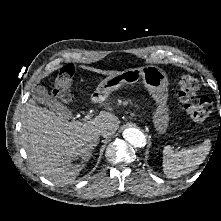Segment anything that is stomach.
<instances>
[{
    "label": "stomach",
    "mask_w": 221,
    "mask_h": 221,
    "mask_svg": "<svg viewBox=\"0 0 221 221\" xmlns=\"http://www.w3.org/2000/svg\"><path fill=\"white\" fill-rule=\"evenodd\" d=\"M140 79L157 105L152 117L153 125L159 134H164L169 124V109L167 105L168 79L162 69L149 65L109 75L98 85L92 98H107L111 92L122 85H133Z\"/></svg>",
    "instance_id": "0dacf381"
}]
</instances>
